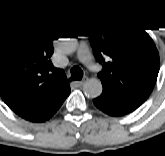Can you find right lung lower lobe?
Listing matches in <instances>:
<instances>
[{"label": "right lung lower lobe", "mask_w": 165, "mask_h": 156, "mask_svg": "<svg viewBox=\"0 0 165 156\" xmlns=\"http://www.w3.org/2000/svg\"><path fill=\"white\" fill-rule=\"evenodd\" d=\"M54 114H55V113H54ZM54 114H53V115H54ZM53 115H52V116H53ZM52 116H50L49 118H51ZM49 118H47L46 120H48ZM46 120H44V121H46ZM44 121H43V122H44Z\"/></svg>", "instance_id": "98d812e1"}]
</instances>
